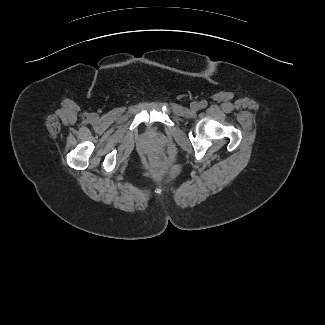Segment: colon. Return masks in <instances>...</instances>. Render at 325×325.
Wrapping results in <instances>:
<instances>
[{
    "label": "colon",
    "mask_w": 325,
    "mask_h": 325,
    "mask_svg": "<svg viewBox=\"0 0 325 325\" xmlns=\"http://www.w3.org/2000/svg\"><path fill=\"white\" fill-rule=\"evenodd\" d=\"M155 163L157 166L159 167H163L164 164H165V158L161 155L157 156L155 159H154Z\"/></svg>",
    "instance_id": "5ec220e1"
}]
</instances>
